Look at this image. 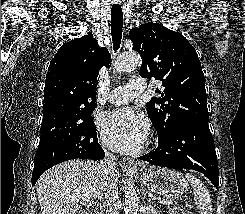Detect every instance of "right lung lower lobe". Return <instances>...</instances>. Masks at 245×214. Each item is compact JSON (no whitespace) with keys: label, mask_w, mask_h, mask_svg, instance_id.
<instances>
[{"label":"right lung lower lobe","mask_w":245,"mask_h":214,"mask_svg":"<svg viewBox=\"0 0 245 214\" xmlns=\"http://www.w3.org/2000/svg\"><path fill=\"white\" fill-rule=\"evenodd\" d=\"M87 152H88V154L83 159L100 160V159H103L105 156L103 149L101 148V146L98 143L96 145L92 146ZM45 170H47V169L46 168L45 169L34 168L33 173H32V185H35L36 181L39 179V177L42 175V173Z\"/></svg>","instance_id":"right-lung-lower-lobe-1"}]
</instances>
